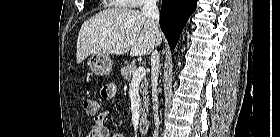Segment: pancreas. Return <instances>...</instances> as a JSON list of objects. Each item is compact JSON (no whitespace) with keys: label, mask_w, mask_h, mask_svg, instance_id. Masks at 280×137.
Returning <instances> with one entry per match:
<instances>
[{"label":"pancreas","mask_w":280,"mask_h":137,"mask_svg":"<svg viewBox=\"0 0 280 137\" xmlns=\"http://www.w3.org/2000/svg\"><path fill=\"white\" fill-rule=\"evenodd\" d=\"M136 69H137V66L134 64L127 65L121 69V76L127 82H130V81H132V76ZM147 87H148V81L146 79H144V81H142V83L139 87V90L142 94V103L140 105L141 119H144V117H146V110L148 109V106H149V99L147 96L148 95Z\"/></svg>","instance_id":"1"}]
</instances>
